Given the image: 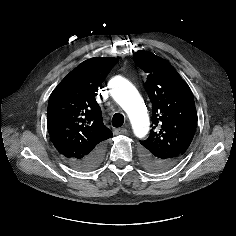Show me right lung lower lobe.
Instances as JSON below:
<instances>
[{
	"label": "right lung lower lobe",
	"mask_w": 236,
	"mask_h": 236,
	"mask_svg": "<svg viewBox=\"0 0 236 236\" xmlns=\"http://www.w3.org/2000/svg\"><path fill=\"white\" fill-rule=\"evenodd\" d=\"M105 154V142L98 145L89 155L77 158H65L67 163L78 170L88 171L97 168L103 161Z\"/></svg>",
	"instance_id": "1"
}]
</instances>
